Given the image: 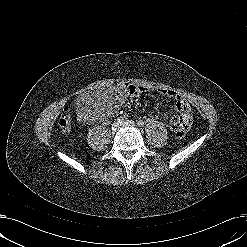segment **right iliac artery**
I'll return each mask as SVG.
<instances>
[{"instance_id": "1", "label": "right iliac artery", "mask_w": 247, "mask_h": 247, "mask_svg": "<svg viewBox=\"0 0 247 247\" xmlns=\"http://www.w3.org/2000/svg\"><path fill=\"white\" fill-rule=\"evenodd\" d=\"M117 120H118L119 123H122L124 121V118L123 117H119Z\"/></svg>"}]
</instances>
